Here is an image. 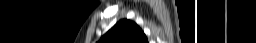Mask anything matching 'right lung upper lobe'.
<instances>
[{
	"mask_svg": "<svg viewBox=\"0 0 256 43\" xmlns=\"http://www.w3.org/2000/svg\"><path fill=\"white\" fill-rule=\"evenodd\" d=\"M99 43H148V40L136 23L124 19L111 28Z\"/></svg>",
	"mask_w": 256,
	"mask_h": 43,
	"instance_id": "cb5924a9",
	"label": "right lung upper lobe"
}]
</instances>
